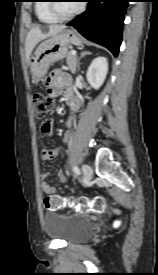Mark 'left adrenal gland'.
Wrapping results in <instances>:
<instances>
[{
	"instance_id": "left-adrenal-gland-1",
	"label": "left adrenal gland",
	"mask_w": 158,
	"mask_h": 275,
	"mask_svg": "<svg viewBox=\"0 0 158 275\" xmlns=\"http://www.w3.org/2000/svg\"><path fill=\"white\" fill-rule=\"evenodd\" d=\"M90 54H91L90 52L82 51V52L80 53V59H81L82 57H84V56H86V55H90ZM78 68H79V65H78Z\"/></svg>"
}]
</instances>
